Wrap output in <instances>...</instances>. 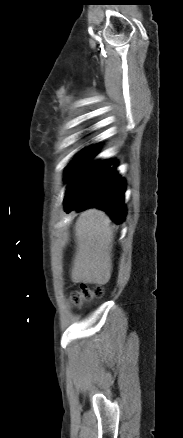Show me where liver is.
Instances as JSON below:
<instances>
[{
	"instance_id": "liver-1",
	"label": "liver",
	"mask_w": 183,
	"mask_h": 438,
	"mask_svg": "<svg viewBox=\"0 0 183 438\" xmlns=\"http://www.w3.org/2000/svg\"><path fill=\"white\" fill-rule=\"evenodd\" d=\"M76 254L71 271L74 283L105 285L111 277L113 230L101 210L81 213L75 225Z\"/></svg>"
}]
</instances>
